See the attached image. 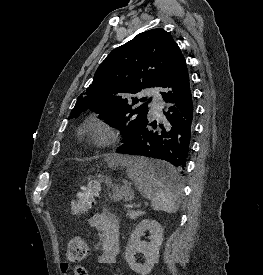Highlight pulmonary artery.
Instances as JSON below:
<instances>
[{"mask_svg":"<svg viewBox=\"0 0 263 275\" xmlns=\"http://www.w3.org/2000/svg\"><path fill=\"white\" fill-rule=\"evenodd\" d=\"M146 96L151 98V110L153 113H159L162 108V98L156 89H149Z\"/></svg>","mask_w":263,"mask_h":275,"instance_id":"1","label":"pulmonary artery"}]
</instances>
